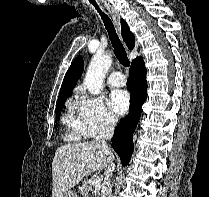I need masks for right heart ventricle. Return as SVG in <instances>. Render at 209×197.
Here are the masks:
<instances>
[{
  "label": "right heart ventricle",
  "instance_id": "right-heart-ventricle-1",
  "mask_svg": "<svg viewBox=\"0 0 209 197\" xmlns=\"http://www.w3.org/2000/svg\"><path fill=\"white\" fill-rule=\"evenodd\" d=\"M62 122L68 129L66 137L70 140H80L84 136L81 121L75 114V103L68 104V110L62 117Z\"/></svg>",
  "mask_w": 209,
  "mask_h": 197
}]
</instances>
